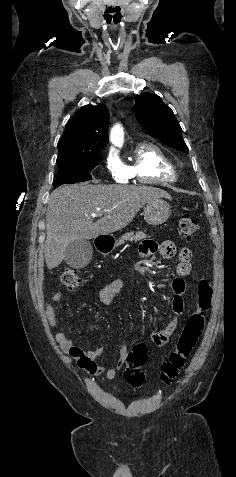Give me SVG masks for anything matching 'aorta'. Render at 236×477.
Returning a JSON list of instances; mask_svg holds the SVG:
<instances>
[{"instance_id":"1","label":"aorta","mask_w":236,"mask_h":477,"mask_svg":"<svg viewBox=\"0 0 236 477\" xmlns=\"http://www.w3.org/2000/svg\"><path fill=\"white\" fill-rule=\"evenodd\" d=\"M111 142L114 145L121 146L124 142V132L123 128L121 125L116 124L112 129H111V135H110Z\"/></svg>"}]
</instances>
